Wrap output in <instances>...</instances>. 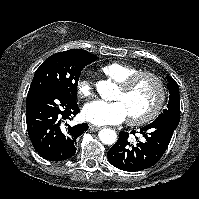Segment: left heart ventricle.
<instances>
[{"mask_svg": "<svg viewBox=\"0 0 199 199\" xmlns=\"http://www.w3.org/2000/svg\"><path fill=\"white\" fill-rule=\"evenodd\" d=\"M156 97V84L151 79L146 78L127 92L118 88L114 96V100H118L123 103L127 116L140 117L151 109Z\"/></svg>", "mask_w": 199, "mask_h": 199, "instance_id": "obj_1", "label": "left heart ventricle"}]
</instances>
